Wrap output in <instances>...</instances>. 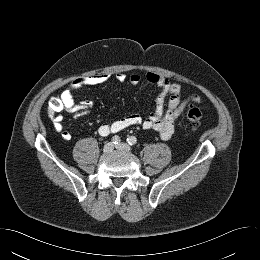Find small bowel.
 <instances>
[{"label":"small bowel","mask_w":260,"mask_h":260,"mask_svg":"<svg viewBox=\"0 0 260 260\" xmlns=\"http://www.w3.org/2000/svg\"><path fill=\"white\" fill-rule=\"evenodd\" d=\"M109 78L110 75L107 73H96L78 77L61 94L64 108L72 114L74 119L86 116L91 111V103L89 101L77 103L73 95L74 90L84 86L105 83ZM115 79L121 83L128 81L132 85H137L141 81V76L139 74L127 76L123 73H117ZM145 80L160 89L155 99L154 110L147 117L131 114L111 123H102L98 127L100 136H108L129 126L140 125L146 130L156 131L161 139L167 140L173 135L176 121L184 112L186 105L202 101V97L199 94H192L188 98L183 99L181 84L158 73L148 72ZM55 127L61 133L64 140H72V134L64 129L61 118L56 120Z\"/></svg>","instance_id":"obj_1"}]
</instances>
